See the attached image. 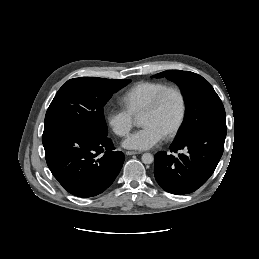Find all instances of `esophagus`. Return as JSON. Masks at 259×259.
Here are the masks:
<instances>
[{
  "instance_id": "34e87169",
  "label": "esophagus",
  "mask_w": 259,
  "mask_h": 259,
  "mask_svg": "<svg viewBox=\"0 0 259 259\" xmlns=\"http://www.w3.org/2000/svg\"><path fill=\"white\" fill-rule=\"evenodd\" d=\"M137 154H141V152H137V151H126V155L130 156V155H137Z\"/></svg>"
}]
</instances>
